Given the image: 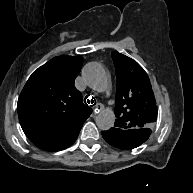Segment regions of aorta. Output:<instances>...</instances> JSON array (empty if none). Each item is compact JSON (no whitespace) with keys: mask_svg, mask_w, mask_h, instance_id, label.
I'll use <instances>...</instances> for the list:
<instances>
[{"mask_svg":"<svg viewBox=\"0 0 193 193\" xmlns=\"http://www.w3.org/2000/svg\"><path fill=\"white\" fill-rule=\"evenodd\" d=\"M82 76L87 85L94 91L102 92L107 87V76L99 63H88L82 71ZM114 123L115 114L111 109L101 111L96 117V125L100 130H109L114 126Z\"/></svg>","mask_w":193,"mask_h":193,"instance_id":"762f6f07","label":"aorta"}]
</instances>
